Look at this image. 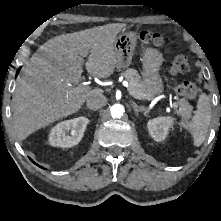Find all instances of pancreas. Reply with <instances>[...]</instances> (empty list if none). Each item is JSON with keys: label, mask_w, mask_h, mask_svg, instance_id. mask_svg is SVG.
Masks as SVG:
<instances>
[{"label": "pancreas", "mask_w": 221, "mask_h": 221, "mask_svg": "<svg viewBox=\"0 0 221 221\" xmlns=\"http://www.w3.org/2000/svg\"><path fill=\"white\" fill-rule=\"evenodd\" d=\"M123 75L129 82L128 90L131 95L140 100L150 99L148 89L145 84L141 82V76L135 69H128L123 73ZM175 104L180 108V114L184 116H189L191 114V106L186 100L181 99Z\"/></svg>", "instance_id": "1"}]
</instances>
